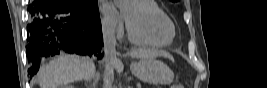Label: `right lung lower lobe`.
Segmentation results:
<instances>
[{
  "label": "right lung lower lobe",
  "mask_w": 267,
  "mask_h": 88,
  "mask_svg": "<svg viewBox=\"0 0 267 88\" xmlns=\"http://www.w3.org/2000/svg\"><path fill=\"white\" fill-rule=\"evenodd\" d=\"M26 55L29 74L37 73L42 58L61 52L97 55L103 45L99 11L74 7L69 0H34L29 6ZM103 54L97 55L98 59Z\"/></svg>",
  "instance_id": "1"
}]
</instances>
